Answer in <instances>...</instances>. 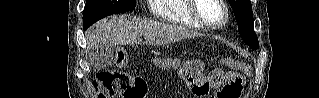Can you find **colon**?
I'll return each mask as SVG.
<instances>
[{"instance_id":"obj_1","label":"colon","mask_w":319,"mask_h":98,"mask_svg":"<svg viewBox=\"0 0 319 98\" xmlns=\"http://www.w3.org/2000/svg\"><path fill=\"white\" fill-rule=\"evenodd\" d=\"M116 64L125 65L127 62V53L124 49L119 48L116 52ZM224 62L240 67L245 73L248 66L245 64L234 63L229 59ZM156 65L161 68L174 67L175 63L171 60H157ZM212 82H219L218 74H211ZM244 79L241 75L235 74L231 76L224 85L212 96V98H237L240 96L243 88ZM92 90L97 98H144L146 95V84L144 80L138 76H130L121 71H101L92 81Z\"/></svg>"}]
</instances>
